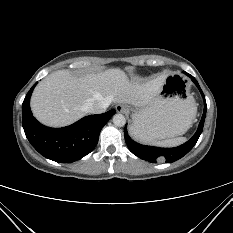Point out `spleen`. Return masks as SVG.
<instances>
[{"mask_svg": "<svg viewBox=\"0 0 233 233\" xmlns=\"http://www.w3.org/2000/svg\"><path fill=\"white\" fill-rule=\"evenodd\" d=\"M130 134L138 140V137L134 131L133 127H130ZM186 141L185 137H176V138H171V139H166V140H162V141H157L152 143L153 145H157V146H162V147H174V146H178L182 143H184Z\"/></svg>", "mask_w": 233, "mask_h": 233, "instance_id": "obj_1", "label": "spleen"}]
</instances>
